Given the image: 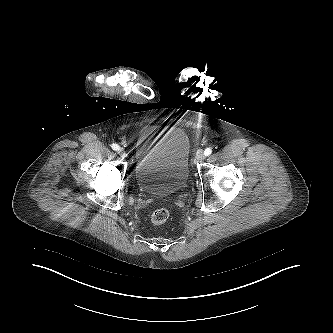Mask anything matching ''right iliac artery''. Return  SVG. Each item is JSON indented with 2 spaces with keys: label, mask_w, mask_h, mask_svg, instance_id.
<instances>
[{
  "label": "right iliac artery",
  "mask_w": 333,
  "mask_h": 333,
  "mask_svg": "<svg viewBox=\"0 0 333 333\" xmlns=\"http://www.w3.org/2000/svg\"><path fill=\"white\" fill-rule=\"evenodd\" d=\"M111 147H112V149L115 150V151L119 150V148H120L119 145L116 144V143H113V144L111 145Z\"/></svg>",
  "instance_id": "obj_1"
}]
</instances>
